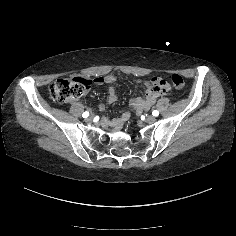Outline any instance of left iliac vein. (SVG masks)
Returning a JSON list of instances; mask_svg holds the SVG:
<instances>
[{"instance_id": "left-iliac-vein-1", "label": "left iliac vein", "mask_w": 236, "mask_h": 236, "mask_svg": "<svg viewBox=\"0 0 236 236\" xmlns=\"http://www.w3.org/2000/svg\"><path fill=\"white\" fill-rule=\"evenodd\" d=\"M145 121L147 123H154L156 121V117L155 116H152V115H149L145 118Z\"/></svg>"}]
</instances>
